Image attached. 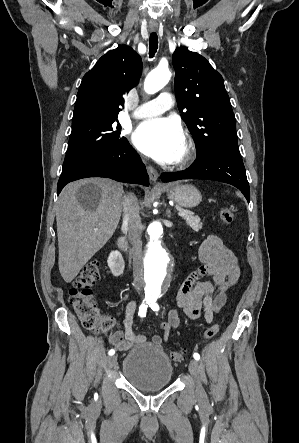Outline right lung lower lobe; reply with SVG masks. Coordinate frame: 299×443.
I'll return each instance as SVG.
<instances>
[{"label": "right lung lower lobe", "instance_id": "right-lung-lower-lobe-1", "mask_svg": "<svg viewBox=\"0 0 299 443\" xmlns=\"http://www.w3.org/2000/svg\"><path fill=\"white\" fill-rule=\"evenodd\" d=\"M87 177H107L119 182L149 186L146 168L129 143L119 150L94 156L62 172L57 195L67 183Z\"/></svg>", "mask_w": 299, "mask_h": 443}]
</instances>
